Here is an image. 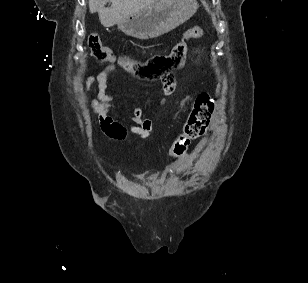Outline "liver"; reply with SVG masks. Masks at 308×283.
Listing matches in <instances>:
<instances>
[{
    "label": "liver",
    "instance_id": "obj_1",
    "mask_svg": "<svg viewBox=\"0 0 308 283\" xmlns=\"http://www.w3.org/2000/svg\"><path fill=\"white\" fill-rule=\"evenodd\" d=\"M160 0H89L90 13H98L101 24L111 27L125 17L137 13L141 9L158 3ZM111 2L110 7H105Z\"/></svg>",
    "mask_w": 308,
    "mask_h": 283
}]
</instances>
